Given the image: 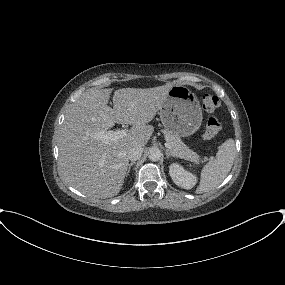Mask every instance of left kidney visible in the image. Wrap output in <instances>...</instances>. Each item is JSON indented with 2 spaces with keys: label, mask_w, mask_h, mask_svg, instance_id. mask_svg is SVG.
Instances as JSON below:
<instances>
[{
  "label": "left kidney",
  "mask_w": 285,
  "mask_h": 285,
  "mask_svg": "<svg viewBox=\"0 0 285 285\" xmlns=\"http://www.w3.org/2000/svg\"><path fill=\"white\" fill-rule=\"evenodd\" d=\"M169 173L174 183L184 189H191L197 183V177L186 171L177 163H172L169 167Z\"/></svg>",
  "instance_id": "5707ae66"
}]
</instances>
